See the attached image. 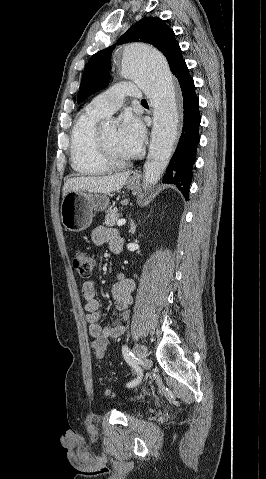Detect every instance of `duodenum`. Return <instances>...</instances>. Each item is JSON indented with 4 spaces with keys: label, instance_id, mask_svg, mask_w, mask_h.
Wrapping results in <instances>:
<instances>
[{
    "label": "duodenum",
    "instance_id": "duodenum-1",
    "mask_svg": "<svg viewBox=\"0 0 266 479\" xmlns=\"http://www.w3.org/2000/svg\"><path fill=\"white\" fill-rule=\"evenodd\" d=\"M111 250L117 254L121 251V246L117 242H113L111 244Z\"/></svg>",
    "mask_w": 266,
    "mask_h": 479
}]
</instances>
